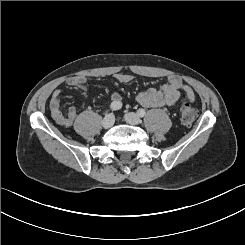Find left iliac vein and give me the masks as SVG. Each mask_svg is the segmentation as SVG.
Here are the masks:
<instances>
[{
  "mask_svg": "<svg viewBox=\"0 0 245 245\" xmlns=\"http://www.w3.org/2000/svg\"><path fill=\"white\" fill-rule=\"evenodd\" d=\"M124 119L127 123H129L131 125H137L141 122L140 117L134 112L127 113L124 116Z\"/></svg>",
  "mask_w": 245,
  "mask_h": 245,
  "instance_id": "4c4485c4",
  "label": "left iliac vein"
}]
</instances>
